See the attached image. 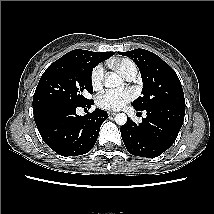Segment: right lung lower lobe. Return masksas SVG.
<instances>
[{
	"label": "right lung lower lobe",
	"mask_w": 214,
	"mask_h": 214,
	"mask_svg": "<svg viewBox=\"0 0 214 214\" xmlns=\"http://www.w3.org/2000/svg\"><path fill=\"white\" fill-rule=\"evenodd\" d=\"M93 100L81 104L52 103L33 110L34 120L43 141L62 156L89 152L108 114L101 109L79 116L76 109L90 108Z\"/></svg>",
	"instance_id": "98d812e1"
}]
</instances>
